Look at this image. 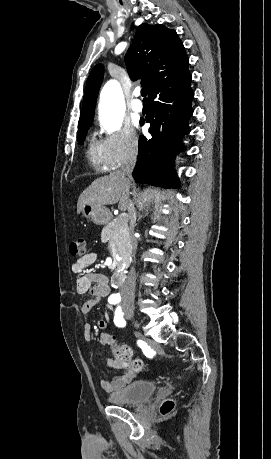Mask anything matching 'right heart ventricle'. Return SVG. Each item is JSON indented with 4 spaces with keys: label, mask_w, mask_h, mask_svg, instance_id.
<instances>
[{
    "label": "right heart ventricle",
    "mask_w": 271,
    "mask_h": 459,
    "mask_svg": "<svg viewBox=\"0 0 271 459\" xmlns=\"http://www.w3.org/2000/svg\"><path fill=\"white\" fill-rule=\"evenodd\" d=\"M87 159L90 165L95 169H106L103 157L101 155L99 147H97L92 141H89L87 145Z\"/></svg>",
    "instance_id": "right-heart-ventricle-1"
}]
</instances>
